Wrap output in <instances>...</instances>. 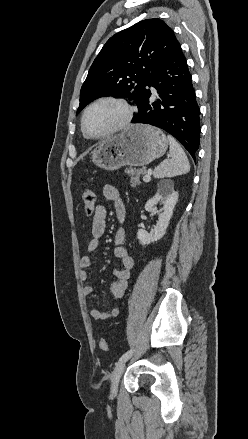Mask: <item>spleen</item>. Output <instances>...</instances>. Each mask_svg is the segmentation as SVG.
<instances>
[{
    "mask_svg": "<svg viewBox=\"0 0 248 439\" xmlns=\"http://www.w3.org/2000/svg\"><path fill=\"white\" fill-rule=\"evenodd\" d=\"M170 144L169 158L162 161L154 170L155 178L175 177L190 171L189 161L180 144L168 135Z\"/></svg>",
    "mask_w": 248,
    "mask_h": 439,
    "instance_id": "obj_1",
    "label": "spleen"
}]
</instances>
